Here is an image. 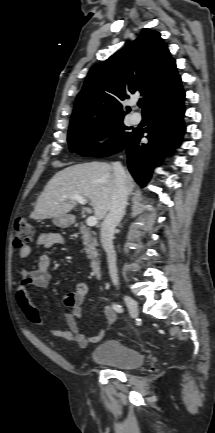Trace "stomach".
<instances>
[{
    "instance_id": "stomach-1",
    "label": "stomach",
    "mask_w": 215,
    "mask_h": 433,
    "mask_svg": "<svg viewBox=\"0 0 215 433\" xmlns=\"http://www.w3.org/2000/svg\"><path fill=\"white\" fill-rule=\"evenodd\" d=\"M53 223L61 228H67L74 223V217L69 214L57 216L53 219Z\"/></svg>"
}]
</instances>
